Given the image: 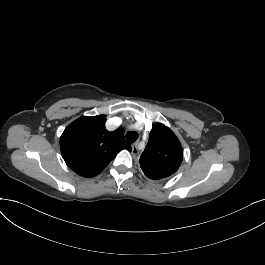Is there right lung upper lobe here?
Instances as JSON below:
<instances>
[{
  "label": "right lung upper lobe",
  "instance_id": "obj_1",
  "mask_svg": "<svg viewBox=\"0 0 265 265\" xmlns=\"http://www.w3.org/2000/svg\"><path fill=\"white\" fill-rule=\"evenodd\" d=\"M105 115L83 116L64 130L60 138L62 157L69 168L84 177L99 174L122 149L131 151L124 130L109 132Z\"/></svg>",
  "mask_w": 265,
  "mask_h": 265
}]
</instances>
